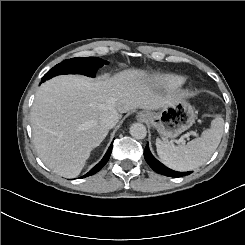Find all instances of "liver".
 Instances as JSON below:
<instances>
[{
  "mask_svg": "<svg viewBox=\"0 0 245 245\" xmlns=\"http://www.w3.org/2000/svg\"><path fill=\"white\" fill-rule=\"evenodd\" d=\"M143 70L128 69L107 79L60 75L43 83L31 108L33 141L45 165L56 174L74 178L108 129L100 115L114 110L118 117L133 109L158 110L172 97L154 93Z\"/></svg>",
  "mask_w": 245,
  "mask_h": 245,
  "instance_id": "liver-1",
  "label": "liver"
}]
</instances>
